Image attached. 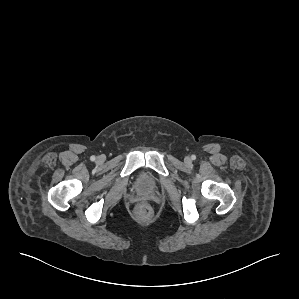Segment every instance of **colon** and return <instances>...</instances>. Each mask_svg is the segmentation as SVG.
Segmentation results:
<instances>
[{"label":"colon","mask_w":299,"mask_h":299,"mask_svg":"<svg viewBox=\"0 0 299 299\" xmlns=\"http://www.w3.org/2000/svg\"><path fill=\"white\" fill-rule=\"evenodd\" d=\"M135 214L140 219H148L152 215V207L146 201H141L135 206Z\"/></svg>","instance_id":"obj_1"}]
</instances>
